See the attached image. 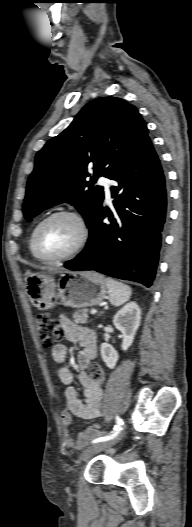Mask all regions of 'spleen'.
<instances>
[{
  "label": "spleen",
  "mask_w": 192,
  "mask_h": 527,
  "mask_svg": "<svg viewBox=\"0 0 192 527\" xmlns=\"http://www.w3.org/2000/svg\"><path fill=\"white\" fill-rule=\"evenodd\" d=\"M105 285L108 289L109 300L114 306L123 305L132 295L131 287L112 278H106Z\"/></svg>",
  "instance_id": "1"
}]
</instances>
